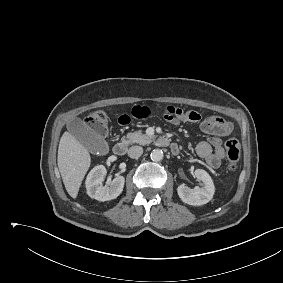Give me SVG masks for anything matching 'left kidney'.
I'll list each match as a JSON object with an SVG mask.
<instances>
[{"label":"left kidney","instance_id":"1","mask_svg":"<svg viewBox=\"0 0 283 283\" xmlns=\"http://www.w3.org/2000/svg\"><path fill=\"white\" fill-rule=\"evenodd\" d=\"M193 176L201 181V187L190 189L188 186L181 184L177 192L181 200L189 205L200 206L208 203L215 193V187L211 176L203 169H196Z\"/></svg>","mask_w":283,"mask_h":283}]
</instances>
